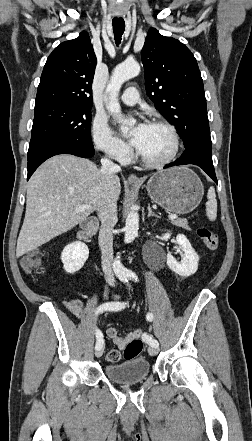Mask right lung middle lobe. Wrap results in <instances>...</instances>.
<instances>
[{
  "mask_svg": "<svg viewBox=\"0 0 252 441\" xmlns=\"http://www.w3.org/2000/svg\"><path fill=\"white\" fill-rule=\"evenodd\" d=\"M91 107L64 103L36 106L29 148L60 139L91 142Z\"/></svg>",
  "mask_w": 252,
  "mask_h": 441,
  "instance_id": "obj_1",
  "label": "right lung middle lobe"
}]
</instances>
